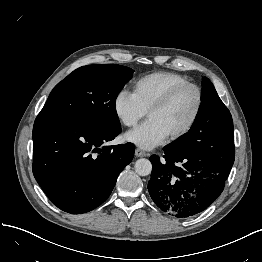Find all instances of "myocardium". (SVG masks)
<instances>
[{
	"instance_id": "1",
	"label": "myocardium",
	"mask_w": 262,
	"mask_h": 262,
	"mask_svg": "<svg viewBox=\"0 0 262 262\" xmlns=\"http://www.w3.org/2000/svg\"><path fill=\"white\" fill-rule=\"evenodd\" d=\"M187 89H191L195 92L196 107L188 123L180 130L168 136V139L170 141H175L184 137L194 128L195 124L197 123V120L200 116L203 107V92L201 88L193 83H185V84L178 85L172 88L169 92H167L160 100L154 103L147 111V115L149 116L152 112L165 108L178 94H180L181 92Z\"/></svg>"
}]
</instances>
